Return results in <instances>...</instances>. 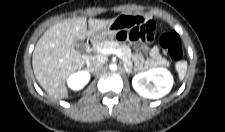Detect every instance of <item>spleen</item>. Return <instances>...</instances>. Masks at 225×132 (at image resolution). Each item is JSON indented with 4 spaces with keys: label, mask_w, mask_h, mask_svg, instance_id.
I'll list each match as a JSON object with an SVG mask.
<instances>
[{
    "label": "spleen",
    "mask_w": 225,
    "mask_h": 132,
    "mask_svg": "<svg viewBox=\"0 0 225 132\" xmlns=\"http://www.w3.org/2000/svg\"><path fill=\"white\" fill-rule=\"evenodd\" d=\"M175 68L178 72L179 79L182 81L184 79L185 75H186L187 68H188L187 61L177 62L176 65H175Z\"/></svg>",
    "instance_id": "1"
}]
</instances>
